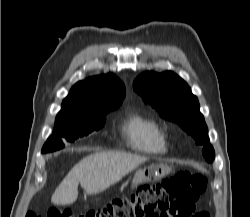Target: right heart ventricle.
Returning a JSON list of instances; mask_svg holds the SVG:
<instances>
[{"mask_svg": "<svg viewBox=\"0 0 250 217\" xmlns=\"http://www.w3.org/2000/svg\"><path fill=\"white\" fill-rule=\"evenodd\" d=\"M121 135L133 151L162 155L168 151L169 139L164 129L153 119L139 113L129 114L121 124Z\"/></svg>", "mask_w": 250, "mask_h": 217, "instance_id": "1", "label": "right heart ventricle"}]
</instances>
